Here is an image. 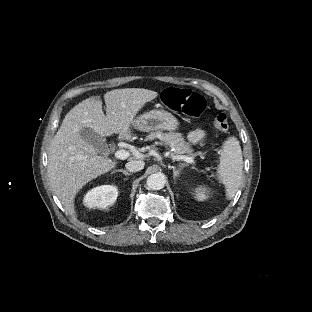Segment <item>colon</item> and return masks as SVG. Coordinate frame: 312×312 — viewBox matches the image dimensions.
<instances>
[{
	"label": "colon",
	"instance_id": "obj_1",
	"mask_svg": "<svg viewBox=\"0 0 312 312\" xmlns=\"http://www.w3.org/2000/svg\"><path fill=\"white\" fill-rule=\"evenodd\" d=\"M163 99L168 108L192 118H197L206 107L203 96L189 89L167 88ZM210 122L220 131L228 129V120L223 113L214 114Z\"/></svg>",
	"mask_w": 312,
	"mask_h": 312
}]
</instances>
